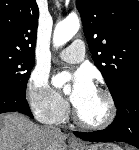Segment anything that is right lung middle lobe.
<instances>
[{"label": "right lung middle lobe", "instance_id": "right-lung-middle-lobe-1", "mask_svg": "<svg viewBox=\"0 0 139 150\" xmlns=\"http://www.w3.org/2000/svg\"><path fill=\"white\" fill-rule=\"evenodd\" d=\"M35 57L0 50V88L26 94V85Z\"/></svg>", "mask_w": 139, "mask_h": 150}]
</instances>
